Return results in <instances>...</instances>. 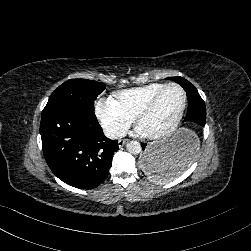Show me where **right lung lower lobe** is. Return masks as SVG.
<instances>
[{"label": "right lung lower lobe", "instance_id": "1", "mask_svg": "<svg viewBox=\"0 0 251 251\" xmlns=\"http://www.w3.org/2000/svg\"><path fill=\"white\" fill-rule=\"evenodd\" d=\"M40 133L48 166L66 184L91 189L108 176L118 141L104 136L94 111L45 107Z\"/></svg>", "mask_w": 251, "mask_h": 251}]
</instances>
